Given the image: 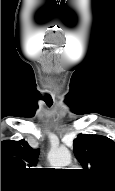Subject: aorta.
Segmentation results:
<instances>
[{"instance_id": "1", "label": "aorta", "mask_w": 115, "mask_h": 191, "mask_svg": "<svg viewBox=\"0 0 115 191\" xmlns=\"http://www.w3.org/2000/svg\"><path fill=\"white\" fill-rule=\"evenodd\" d=\"M49 160L53 166L63 167L71 163V153L70 151L64 150H55L49 154Z\"/></svg>"}]
</instances>
